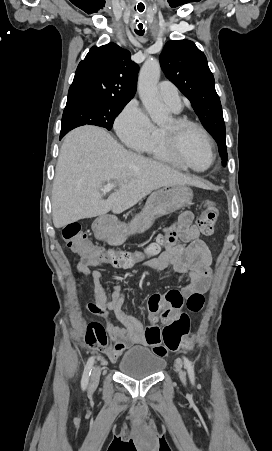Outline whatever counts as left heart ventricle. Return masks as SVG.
<instances>
[{"label":"left heart ventricle","instance_id":"b2bd125f","mask_svg":"<svg viewBox=\"0 0 272 451\" xmlns=\"http://www.w3.org/2000/svg\"><path fill=\"white\" fill-rule=\"evenodd\" d=\"M164 126L169 131L175 130L171 119ZM178 132L183 163L197 171L205 170L211 162V154L200 133L194 129H181Z\"/></svg>","mask_w":272,"mask_h":451}]
</instances>
